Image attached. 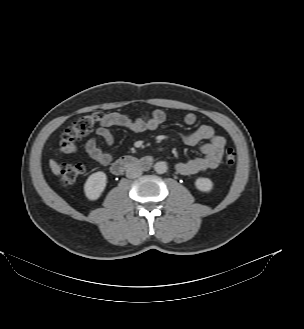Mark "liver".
Masks as SVG:
<instances>
[{
  "label": "liver",
  "mask_w": 304,
  "mask_h": 329,
  "mask_svg": "<svg viewBox=\"0 0 304 329\" xmlns=\"http://www.w3.org/2000/svg\"><path fill=\"white\" fill-rule=\"evenodd\" d=\"M49 165H50V168H51L52 172L55 175H59L60 174L61 168H60V166L53 159H51L49 161Z\"/></svg>",
  "instance_id": "liver-1"
}]
</instances>
